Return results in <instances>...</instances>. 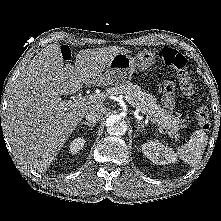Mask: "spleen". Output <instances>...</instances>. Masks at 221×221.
Segmentation results:
<instances>
[{
    "label": "spleen",
    "instance_id": "3e777b00",
    "mask_svg": "<svg viewBox=\"0 0 221 221\" xmlns=\"http://www.w3.org/2000/svg\"><path fill=\"white\" fill-rule=\"evenodd\" d=\"M208 136L202 130L195 131L185 145L177 149V154L183 162L192 166L200 162L207 145Z\"/></svg>",
    "mask_w": 221,
    "mask_h": 221
}]
</instances>
